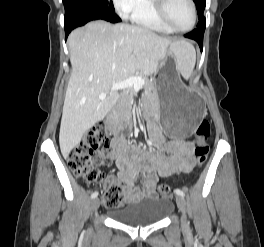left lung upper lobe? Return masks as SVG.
<instances>
[{
  "label": "left lung upper lobe",
  "instance_id": "5c2ea615",
  "mask_svg": "<svg viewBox=\"0 0 264 247\" xmlns=\"http://www.w3.org/2000/svg\"><path fill=\"white\" fill-rule=\"evenodd\" d=\"M193 1L196 4V8L198 12V18H199L198 27H206V20L205 17L203 16L206 0H193Z\"/></svg>",
  "mask_w": 264,
  "mask_h": 247
}]
</instances>
